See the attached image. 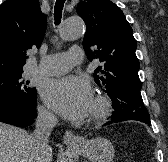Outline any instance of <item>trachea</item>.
<instances>
[{
  "mask_svg": "<svg viewBox=\"0 0 168 162\" xmlns=\"http://www.w3.org/2000/svg\"><path fill=\"white\" fill-rule=\"evenodd\" d=\"M64 3H65V0H56L55 7H54L55 25H59L61 22Z\"/></svg>",
  "mask_w": 168,
  "mask_h": 162,
  "instance_id": "obj_1",
  "label": "trachea"
}]
</instances>
